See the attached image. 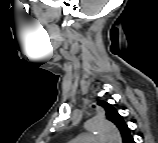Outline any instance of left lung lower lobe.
I'll use <instances>...</instances> for the list:
<instances>
[{
  "mask_svg": "<svg viewBox=\"0 0 158 143\" xmlns=\"http://www.w3.org/2000/svg\"><path fill=\"white\" fill-rule=\"evenodd\" d=\"M123 143H134V140L131 135H128L123 139Z\"/></svg>",
  "mask_w": 158,
  "mask_h": 143,
  "instance_id": "1",
  "label": "left lung lower lobe"
}]
</instances>
